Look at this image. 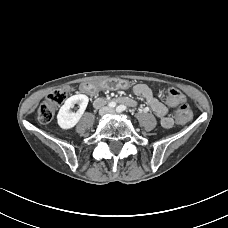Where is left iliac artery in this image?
<instances>
[{
    "instance_id": "left-iliac-artery-1",
    "label": "left iliac artery",
    "mask_w": 228,
    "mask_h": 228,
    "mask_svg": "<svg viewBox=\"0 0 228 228\" xmlns=\"http://www.w3.org/2000/svg\"><path fill=\"white\" fill-rule=\"evenodd\" d=\"M126 110V106H124V105H119L117 108H116V111L118 112V113H121V112H123V111H125Z\"/></svg>"
}]
</instances>
